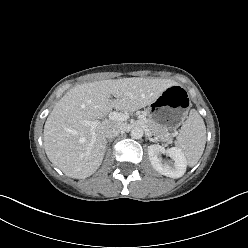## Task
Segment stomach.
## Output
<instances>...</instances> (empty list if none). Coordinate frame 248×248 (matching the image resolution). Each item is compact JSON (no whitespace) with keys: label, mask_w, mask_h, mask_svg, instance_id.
I'll return each mask as SVG.
<instances>
[{"label":"stomach","mask_w":248,"mask_h":248,"mask_svg":"<svg viewBox=\"0 0 248 248\" xmlns=\"http://www.w3.org/2000/svg\"><path fill=\"white\" fill-rule=\"evenodd\" d=\"M191 103L187 90L177 84L162 92L148 107V117L168 130H176L187 118Z\"/></svg>","instance_id":"0dacf381"}]
</instances>
